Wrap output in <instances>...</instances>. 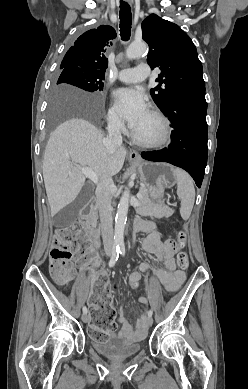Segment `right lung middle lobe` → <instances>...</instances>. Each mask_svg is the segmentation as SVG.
<instances>
[{"label": "right lung middle lobe", "mask_w": 248, "mask_h": 389, "mask_svg": "<svg viewBox=\"0 0 248 389\" xmlns=\"http://www.w3.org/2000/svg\"><path fill=\"white\" fill-rule=\"evenodd\" d=\"M63 69L57 84L67 83L79 87L85 91L94 92L103 90V80L104 77L98 74H95L92 71L79 69L76 67H60ZM71 107L79 113L85 114L90 118L97 117L99 109L97 106L85 102H78ZM61 107L59 105L53 108L54 113H59Z\"/></svg>", "instance_id": "dd1d6c3e"}]
</instances>
